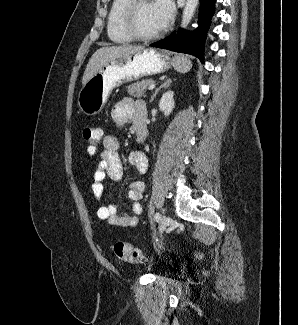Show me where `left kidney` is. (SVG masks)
<instances>
[{
    "mask_svg": "<svg viewBox=\"0 0 298 325\" xmlns=\"http://www.w3.org/2000/svg\"><path fill=\"white\" fill-rule=\"evenodd\" d=\"M174 94V90H166V92H163L159 100V110H161L165 116H169V114H171L175 108Z\"/></svg>",
    "mask_w": 298,
    "mask_h": 325,
    "instance_id": "obj_1",
    "label": "left kidney"
}]
</instances>
